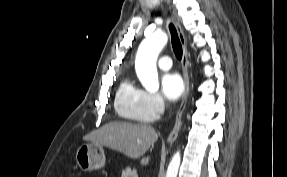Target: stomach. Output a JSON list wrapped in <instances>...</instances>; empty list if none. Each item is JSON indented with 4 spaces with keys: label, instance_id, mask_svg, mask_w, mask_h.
<instances>
[{
    "label": "stomach",
    "instance_id": "stomach-1",
    "mask_svg": "<svg viewBox=\"0 0 287 177\" xmlns=\"http://www.w3.org/2000/svg\"><path fill=\"white\" fill-rule=\"evenodd\" d=\"M75 160L84 172L100 169L105 165L103 146L95 143L83 144L77 149Z\"/></svg>",
    "mask_w": 287,
    "mask_h": 177
}]
</instances>
